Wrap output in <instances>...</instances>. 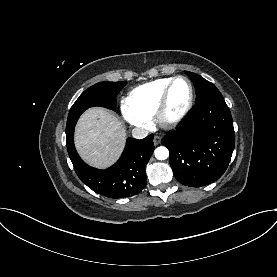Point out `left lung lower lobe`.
Masks as SVG:
<instances>
[{
    "mask_svg": "<svg viewBox=\"0 0 277 277\" xmlns=\"http://www.w3.org/2000/svg\"><path fill=\"white\" fill-rule=\"evenodd\" d=\"M178 182L200 187L218 180L227 169L235 146L229 107L222 95L196 104L188 120L162 139Z\"/></svg>",
    "mask_w": 277,
    "mask_h": 277,
    "instance_id": "left-lung-lower-lobe-1",
    "label": "left lung lower lobe"
}]
</instances>
